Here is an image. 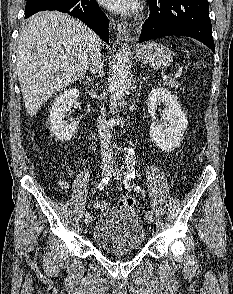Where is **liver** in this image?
<instances>
[{
	"instance_id": "liver-1",
	"label": "liver",
	"mask_w": 233,
	"mask_h": 294,
	"mask_svg": "<svg viewBox=\"0 0 233 294\" xmlns=\"http://www.w3.org/2000/svg\"><path fill=\"white\" fill-rule=\"evenodd\" d=\"M102 41L89 27L56 11L30 17L17 46V73L26 112L34 116L54 93L81 80Z\"/></svg>"
}]
</instances>
